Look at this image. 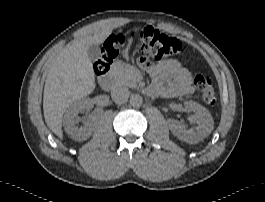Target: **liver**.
<instances>
[{
    "mask_svg": "<svg viewBox=\"0 0 265 202\" xmlns=\"http://www.w3.org/2000/svg\"><path fill=\"white\" fill-rule=\"evenodd\" d=\"M110 34L111 30H106L76 40L51 62L44 86L43 111L47 126L59 138L63 137V114L75 101L91 94L96 87L87 49L91 44L103 43Z\"/></svg>",
    "mask_w": 265,
    "mask_h": 202,
    "instance_id": "liver-1",
    "label": "liver"
}]
</instances>
